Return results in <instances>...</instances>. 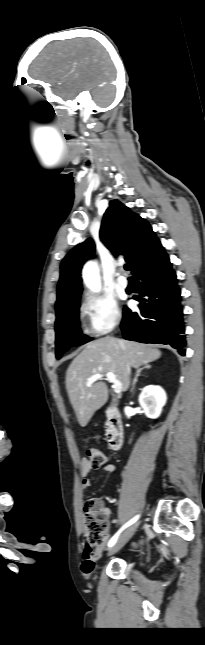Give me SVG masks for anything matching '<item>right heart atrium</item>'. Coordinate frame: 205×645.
Segmentation results:
<instances>
[{
	"mask_svg": "<svg viewBox=\"0 0 205 645\" xmlns=\"http://www.w3.org/2000/svg\"><path fill=\"white\" fill-rule=\"evenodd\" d=\"M80 312L87 322L91 335H106L122 321V312L116 300L104 294H86L80 305Z\"/></svg>",
	"mask_w": 205,
	"mask_h": 645,
	"instance_id": "right-heart-atrium-1",
	"label": "right heart atrium"
}]
</instances>
